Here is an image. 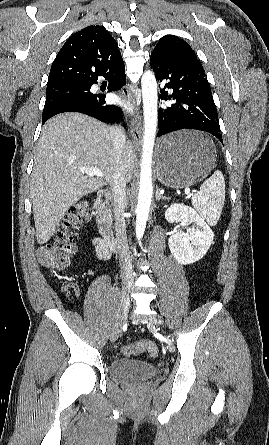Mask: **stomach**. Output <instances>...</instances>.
Returning <instances> with one entry per match:
<instances>
[{"instance_id": "obj_1", "label": "stomach", "mask_w": 269, "mask_h": 445, "mask_svg": "<svg viewBox=\"0 0 269 445\" xmlns=\"http://www.w3.org/2000/svg\"><path fill=\"white\" fill-rule=\"evenodd\" d=\"M213 142L198 131L166 136L157 155V178L167 187L182 189L205 178L215 165Z\"/></svg>"}]
</instances>
